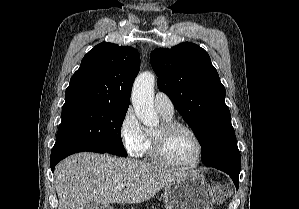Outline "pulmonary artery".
I'll return each instance as SVG.
<instances>
[{"mask_svg":"<svg viewBox=\"0 0 299 209\" xmlns=\"http://www.w3.org/2000/svg\"><path fill=\"white\" fill-rule=\"evenodd\" d=\"M154 106L156 110L165 117H172L174 106L170 98L163 92H157L154 97Z\"/></svg>","mask_w":299,"mask_h":209,"instance_id":"1","label":"pulmonary artery"}]
</instances>
